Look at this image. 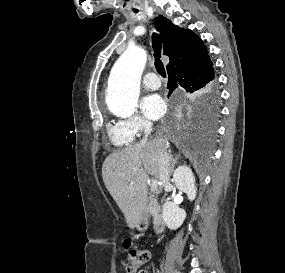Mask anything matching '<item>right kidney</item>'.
Returning a JSON list of instances; mask_svg holds the SVG:
<instances>
[{"label": "right kidney", "instance_id": "right-kidney-1", "mask_svg": "<svg viewBox=\"0 0 285 273\" xmlns=\"http://www.w3.org/2000/svg\"><path fill=\"white\" fill-rule=\"evenodd\" d=\"M173 177L177 188L186 193L190 201H193L196 197L197 188L191 169L185 165L179 166L174 172ZM162 215L165 224L171 230L178 229L186 218L185 210L172 202H166L163 205Z\"/></svg>", "mask_w": 285, "mask_h": 273}]
</instances>
